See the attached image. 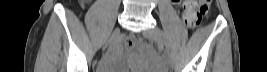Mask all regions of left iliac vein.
<instances>
[{"label":"left iliac vein","mask_w":267,"mask_h":72,"mask_svg":"<svg viewBox=\"0 0 267 72\" xmlns=\"http://www.w3.org/2000/svg\"><path fill=\"white\" fill-rule=\"evenodd\" d=\"M143 34L149 40L155 41L158 44L160 50L164 51V42L161 36V32L158 28H151V29L145 30ZM164 60L168 66L171 65L170 58L166 53L164 55Z\"/></svg>","instance_id":"4c4485c4"}]
</instances>
